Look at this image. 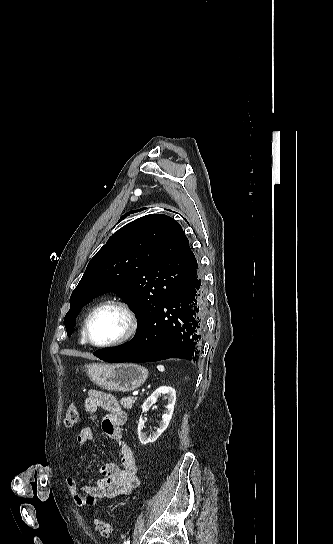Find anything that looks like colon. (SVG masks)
<instances>
[{"instance_id": "obj_1", "label": "colon", "mask_w": 333, "mask_h": 544, "mask_svg": "<svg viewBox=\"0 0 333 544\" xmlns=\"http://www.w3.org/2000/svg\"><path fill=\"white\" fill-rule=\"evenodd\" d=\"M78 418H79L78 407L76 404L73 403L70 405L66 413V416L64 419L65 425L73 426L78 421ZM94 527L96 531L103 537H108L111 532V526L109 522L103 518H96L94 521Z\"/></svg>"}]
</instances>
